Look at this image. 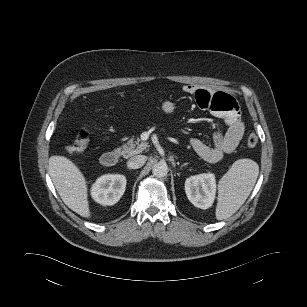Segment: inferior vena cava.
<instances>
[{"mask_svg":"<svg viewBox=\"0 0 307 307\" xmlns=\"http://www.w3.org/2000/svg\"><path fill=\"white\" fill-rule=\"evenodd\" d=\"M146 162V156L137 155L131 157L127 162V167L130 169H138L141 168Z\"/></svg>","mask_w":307,"mask_h":307,"instance_id":"obj_1","label":"inferior vena cava"}]
</instances>
